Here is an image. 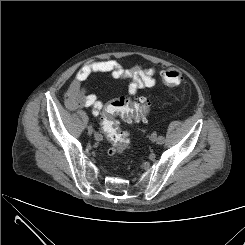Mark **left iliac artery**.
<instances>
[{"label":"left iliac artery","mask_w":245,"mask_h":245,"mask_svg":"<svg viewBox=\"0 0 245 245\" xmlns=\"http://www.w3.org/2000/svg\"><path fill=\"white\" fill-rule=\"evenodd\" d=\"M157 143L158 144H163L164 143V137L159 136L158 139H157Z\"/></svg>","instance_id":"left-iliac-artery-1"}]
</instances>
